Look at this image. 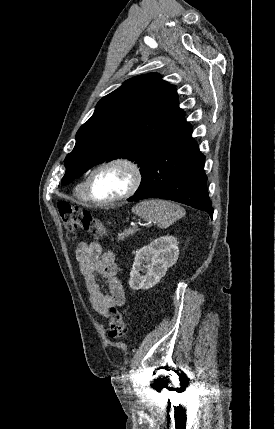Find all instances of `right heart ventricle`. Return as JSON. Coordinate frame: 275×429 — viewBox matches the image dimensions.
I'll use <instances>...</instances> for the list:
<instances>
[{
  "label": "right heart ventricle",
  "mask_w": 275,
  "mask_h": 429,
  "mask_svg": "<svg viewBox=\"0 0 275 429\" xmlns=\"http://www.w3.org/2000/svg\"><path fill=\"white\" fill-rule=\"evenodd\" d=\"M86 179L87 177H85L81 182H79L75 188L76 197L82 201H87V197L85 195Z\"/></svg>",
  "instance_id": "e07e8e85"
}]
</instances>
